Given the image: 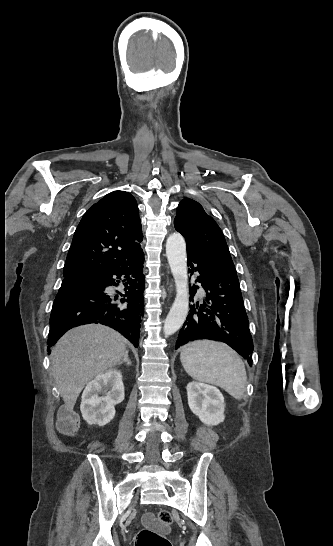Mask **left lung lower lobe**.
<instances>
[{
	"instance_id": "0a47b994",
	"label": "left lung lower lobe",
	"mask_w": 333,
	"mask_h": 546,
	"mask_svg": "<svg viewBox=\"0 0 333 546\" xmlns=\"http://www.w3.org/2000/svg\"><path fill=\"white\" fill-rule=\"evenodd\" d=\"M187 265L190 273H198L195 283L201 284L206 296L203 303L197 301L191 305L179 331L176 349L197 339L218 340L236 350L252 366L253 341L235 267L211 261L189 245ZM198 288L193 285L190 290L192 301Z\"/></svg>"
}]
</instances>
